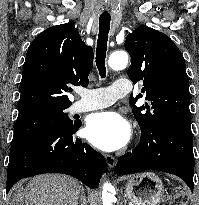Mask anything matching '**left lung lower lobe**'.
Instances as JSON below:
<instances>
[{"mask_svg": "<svg viewBox=\"0 0 199 205\" xmlns=\"http://www.w3.org/2000/svg\"><path fill=\"white\" fill-rule=\"evenodd\" d=\"M194 154L190 123L170 121L158 131L141 133L137 147L118 159V176L159 170L179 176L193 192Z\"/></svg>", "mask_w": 199, "mask_h": 205, "instance_id": "0a47b994", "label": "left lung lower lobe"}]
</instances>
